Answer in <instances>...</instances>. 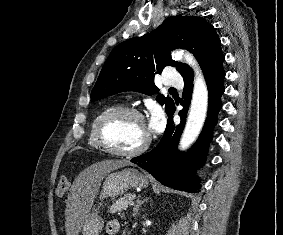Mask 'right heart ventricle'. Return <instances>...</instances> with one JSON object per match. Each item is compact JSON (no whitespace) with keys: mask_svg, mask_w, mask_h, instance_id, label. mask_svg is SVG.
<instances>
[{"mask_svg":"<svg viewBox=\"0 0 283 235\" xmlns=\"http://www.w3.org/2000/svg\"><path fill=\"white\" fill-rule=\"evenodd\" d=\"M119 107L117 104H109L106 105L104 107H102L92 118L90 126H89V130H88V145L89 147L93 148V149H99L100 147L97 145L96 141H95V137H94V129L95 126L98 122V120L101 118L102 115H104L106 112Z\"/></svg>","mask_w":283,"mask_h":235,"instance_id":"1","label":"right heart ventricle"}]
</instances>
